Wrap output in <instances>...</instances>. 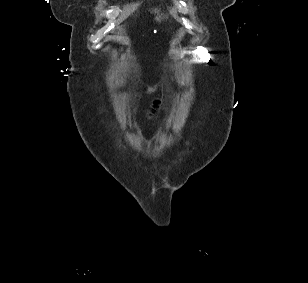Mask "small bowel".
<instances>
[{
    "label": "small bowel",
    "mask_w": 308,
    "mask_h": 283,
    "mask_svg": "<svg viewBox=\"0 0 308 283\" xmlns=\"http://www.w3.org/2000/svg\"><path fill=\"white\" fill-rule=\"evenodd\" d=\"M157 88H158L157 85L148 87V88L145 89V93H147V94H153V93H155V92L157 91ZM154 107H156V103H155V106H154ZM153 109H154V108H153ZM152 111H153V110H152ZM152 113H153V112H152Z\"/></svg>",
    "instance_id": "1"
}]
</instances>
